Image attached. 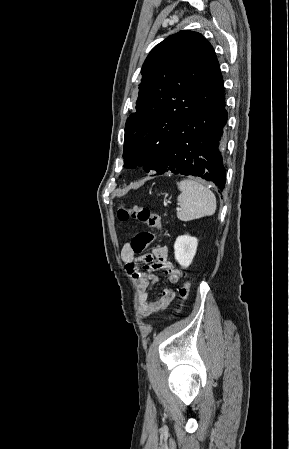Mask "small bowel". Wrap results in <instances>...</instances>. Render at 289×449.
Returning <instances> with one entry per match:
<instances>
[{"label": "small bowel", "mask_w": 289, "mask_h": 449, "mask_svg": "<svg viewBox=\"0 0 289 449\" xmlns=\"http://www.w3.org/2000/svg\"><path fill=\"white\" fill-rule=\"evenodd\" d=\"M121 258L126 264V271L138 284L141 315L147 317L166 309L174 300L176 293L172 288H165L158 296L153 298L151 290L158 280L154 272L164 270L171 284H177L182 276V272L168 260L167 247L158 246L153 249L151 254L137 257L132 249L131 242H127L121 250ZM140 263L146 265V271L140 269Z\"/></svg>", "instance_id": "1"}]
</instances>
